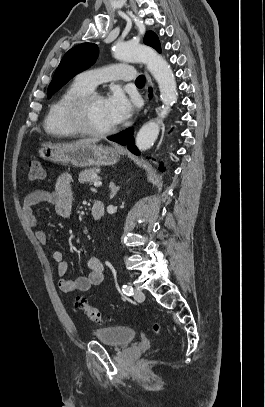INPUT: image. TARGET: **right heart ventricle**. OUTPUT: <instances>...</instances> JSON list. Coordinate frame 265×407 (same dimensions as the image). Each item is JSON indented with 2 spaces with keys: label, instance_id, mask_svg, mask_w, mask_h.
<instances>
[{
  "label": "right heart ventricle",
  "instance_id": "1",
  "mask_svg": "<svg viewBox=\"0 0 265 407\" xmlns=\"http://www.w3.org/2000/svg\"><path fill=\"white\" fill-rule=\"evenodd\" d=\"M90 92L76 79L70 83L50 105L44 120V129L47 134L58 137H77L75 132L67 123L65 113L68 104L76 97Z\"/></svg>",
  "mask_w": 265,
  "mask_h": 407
}]
</instances>
